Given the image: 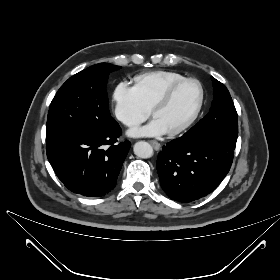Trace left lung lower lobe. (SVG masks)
Returning a JSON list of instances; mask_svg holds the SVG:
<instances>
[{"mask_svg": "<svg viewBox=\"0 0 280 280\" xmlns=\"http://www.w3.org/2000/svg\"><path fill=\"white\" fill-rule=\"evenodd\" d=\"M234 149L205 136L183 135L168 142L156 164L162 189L182 203L208 195L229 172Z\"/></svg>", "mask_w": 280, "mask_h": 280, "instance_id": "obj_1", "label": "left lung lower lobe"}]
</instances>
